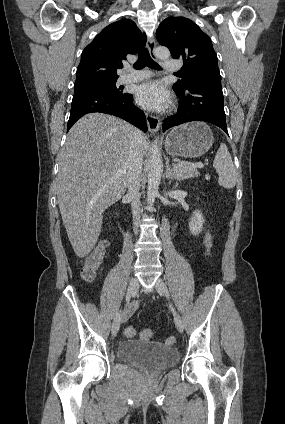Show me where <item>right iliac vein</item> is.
Listing matches in <instances>:
<instances>
[{
    "instance_id": "obj_1",
    "label": "right iliac vein",
    "mask_w": 285,
    "mask_h": 424,
    "mask_svg": "<svg viewBox=\"0 0 285 424\" xmlns=\"http://www.w3.org/2000/svg\"><path fill=\"white\" fill-rule=\"evenodd\" d=\"M139 287V281L136 277H133L130 280L129 286H128V293L130 296L134 295ZM128 320L127 316V310H124L122 314L119 312L114 317L113 323H112V335L116 336L120 327L121 322H125Z\"/></svg>"
}]
</instances>
